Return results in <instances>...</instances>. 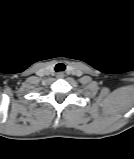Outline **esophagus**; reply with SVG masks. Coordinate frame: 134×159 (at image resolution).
I'll list each match as a JSON object with an SVG mask.
<instances>
[{
    "label": "esophagus",
    "instance_id": "obj_1",
    "mask_svg": "<svg viewBox=\"0 0 134 159\" xmlns=\"http://www.w3.org/2000/svg\"><path fill=\"white\" fill-rule=\"evenodd\" d=\"M64 73L63 72H59V73H57V75H56V77L58 78V79H62V78H64Z\"/></svg>",
    "mask_w": 134,
    "mask_h": 159
}]
</instances>
